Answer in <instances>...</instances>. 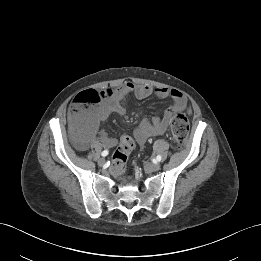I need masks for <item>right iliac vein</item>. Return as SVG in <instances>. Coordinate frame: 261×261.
<instances>
[{"instance_id": "obj_1", "label": "right iliac vein", "mask_w": 261, "mask_h": 261, "mask_svg": "<svg viewBox=\"0 0 261 261\" xmlns=\"http://www.w3.org/2000/svg\"><path fill=\"white\" fill-rule=\"evenodd\" d=\"M97 163H98V165L103 166L105 164V159L104 158H99Z\"/></svg>"}]
</instances>
